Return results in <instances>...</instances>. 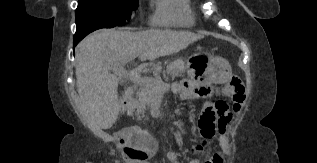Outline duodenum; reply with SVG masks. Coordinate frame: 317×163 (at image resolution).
<instances>
[{
    "label": "duodenum",
    "mask_w": 317,
    "mask_h": 163,
    "mask_svg": "<svg viewBox=\"0 0 317 163\" xmlns=\"http://www.w3.org/2000/svg\"><path fill=\"white\" fill-rule=\"evenodd\" d=\"M133 100V93L132 92H126L121 99L122 109L127 110L129 106L131 105ZM124 145H127V142H125Z\"/></svg>",
    "instance_id": "410a0bca"
}]
</instances>
